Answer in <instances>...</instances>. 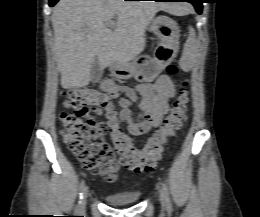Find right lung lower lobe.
I'll list each match as a JSON object with an SVG mask.
<instances>
[{
	"instance_id": "98d812e1",
	"label": "right lung lower lobe",
	"mask_w": 260,
	"mask_h": 217,
	"mask_svg": "<svg viewBox=\"0 0 260 217\" xmlns=\"http://www.w3.org/2000/svg\"><path fill=\"white\" fill-rule=\"evenodd\" d=\"M59 0H49V5L54 6ZM127 1V0H126Z\"/></svg>"
}]
</instances>
